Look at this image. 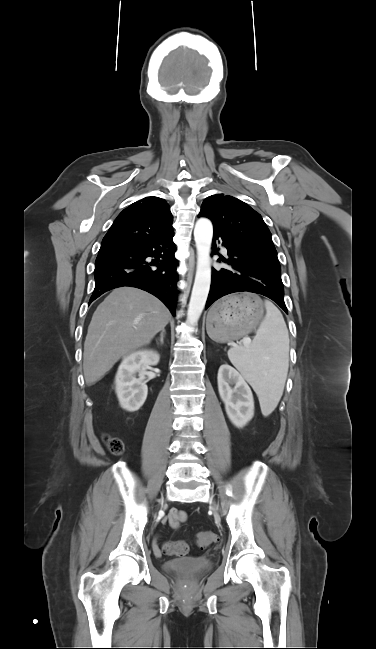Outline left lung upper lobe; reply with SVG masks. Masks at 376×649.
Masks as SVG:
<instances>
[{
  "mask_svg": "<svg viewBox=\"0 0 376 649\" xmlns=\"http://www.w3.org/2000/svg\"><path fill=\"white\" fill-rule=\"evenodd\" d=\"M198 216L209 218L214 231L278 261L268 227L261 215L243 201L229 195L215 194L203 201Z\"/></svg>",
  "mask_w": 376,
  "mask_h": 649,
  "instance_id": "5c2ea615",
  "label": "left lung upper lobe"
}]
</instances>
